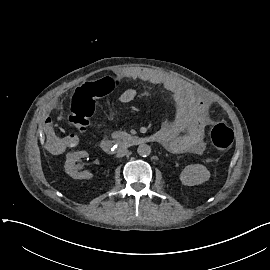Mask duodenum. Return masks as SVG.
<instances>
[{
  "instance_id": "410a0bca",
  "label": "duodenum",
  "mask_w": 270,
  "mask_h": 270,
  "mask_svg": "<svg viewBox=\"0 0 270 270\" xmlns=\"http://www.w3.org/2000/svg\"><path fill=\"white\" fill-rule=\"evenodd\" d=\"M149 142H159V138L155 134L150 136L129 135L121 140L106 138L101 141L100 146L104 152L111 154L121 146H138Z\"/></svg>"
}]
</instances>
